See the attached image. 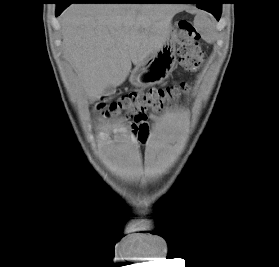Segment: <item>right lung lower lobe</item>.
I'll list each match as a JSON object with an SVG mask.
<instances>
[{"instance_id":"98d812e1","label":"right lung lower lobe","mask_w":279,"mask_h":267,"mask_svg":"<svg viewBox=\"0 0 279 267\" xmlns=\"http://www.w3.org/2000/svg\"><path fill=\"white\" fill-rule=\"evenodd\" d=\"M72 3H166L165 0H59L56 16Z\"/></svg>"}]
</instances>
